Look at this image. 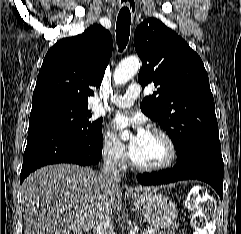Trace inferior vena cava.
I'll use <instances>...</instances> for the list:
<instances>
[{
	"mask_svg": "<svg viewBox=\"0 0 241 234\" xmlns=\"http://www.w3.org/2000/svg\"><path fill=\"white\" fill-rule=\"evenodd\" d=\"M117 158L112 148H108L104 153L103 175L114 183L121 180L120 171L117 168ZM94 234H115L112 217L102 215L98 217L93 227Z\"/></svg>",
	"mask_w": 241,
	"mask_h": 234,
	"instance_id": "obj_1",
	"label": "inferior vena cava"
}]
</instances>
